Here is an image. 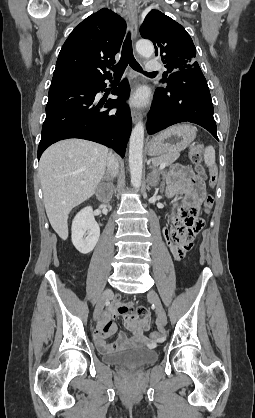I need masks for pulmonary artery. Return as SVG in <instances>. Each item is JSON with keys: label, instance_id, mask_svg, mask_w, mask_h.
I'll return each mask as SVG.
<instances>
[{"label": "pulmonary artery", "instance_id": "pulmonary-artery-1", "mask_svg": "<svg viewBox=\"0 0 255 418\" xmlns=\"http://www.w3.org/2000/svg\"><path fill=\"white\" fill-rule=\"evenodd\" d=\"M161 68V65H160V63L158 62V61H156V60H149L147 63H146V69L148 70V71H156V70H158V69H160Z\"/></svg>", "mask_w": 255, "mask_h": 418}]
</instances>
